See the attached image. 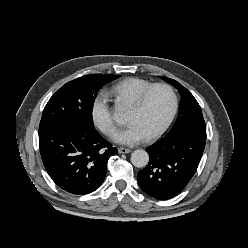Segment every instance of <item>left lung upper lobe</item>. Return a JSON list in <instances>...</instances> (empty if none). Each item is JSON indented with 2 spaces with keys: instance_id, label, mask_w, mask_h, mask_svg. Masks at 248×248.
<instances>
[{
  "instance_id": "1",
  "label": "left lung upper lobe",
  "mask_w": 248,
  "mask_h": 248,
  "mask_svg": "<svg viewBox=\"0 0 248 248\" xmlns=\"http://www.w3.org/2000/svg\"><path fill=\"white\" fill-rule=\"evenodd\" d=\"M161 78L177 88L182 97L178 117L167 135L189 128L206 131L201 107L194 96L179 82L167 77Z\"/></svg>"
}]
</instances>
